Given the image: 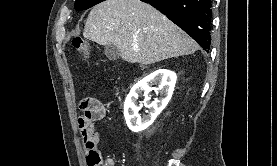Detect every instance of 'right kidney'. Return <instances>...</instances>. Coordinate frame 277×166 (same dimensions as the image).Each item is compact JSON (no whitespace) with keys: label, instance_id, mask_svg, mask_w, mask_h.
Returning <instances> with one entry per match:
<instances>
[{"label":"right kidney","instance_id":"ca27d5eb","mask_svg":"<svg viewBox=\"0 0 277 166\" xmlns=\"http://www.w3.org/2000/svg\"><path fill=\"white\" fill-rule=\"evenodd\" d=\"M175 83L176 76L174 73L168 70L159 69L132 87L124 104V117L131 131L140 132L148 128L154 122L170 101ZM154 84H158L157 90H160L161 97L150 103L149 93L154 89L151 87ZM142 92H144L145 96L144 105L150 109L149 114L143 118L138 115L141 107L136 104L138 95Z\"/></svg>","mask_w":277,"mask_h":166}]
</instances>
